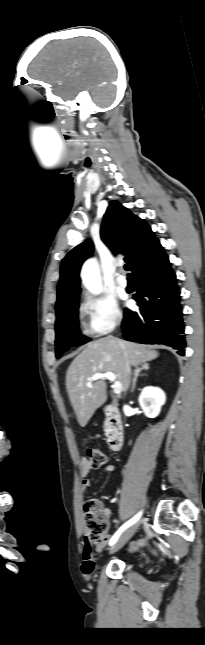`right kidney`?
Segmentation results:
<instances>
[{"label": "right kidney", "instance_id": "1", "mask_svg": "<svg viewBox=\"0 0 205 645\" xmlns=\"http://www.w3.org/2000/svg\"><path fill=\"white\" fill-rule=\"evenodd\" d=\"M165 400V393L157 387H145L138 399L142 410L149 418H155L159 415Z\"/></svg>", "mask_w": 205, "mask_h": 645}]
</instances>
